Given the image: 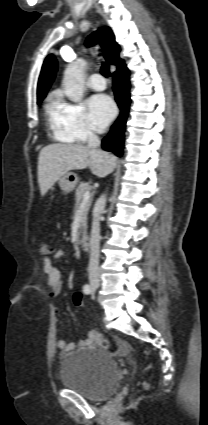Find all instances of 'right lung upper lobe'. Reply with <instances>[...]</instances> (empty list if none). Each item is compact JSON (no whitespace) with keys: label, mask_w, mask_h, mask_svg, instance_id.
Here are the masks:
<instances>
[{"label":"right lung upper lobe","mask_w":208,"mask_h":425,"mask_svg":"<svg viewBox=\"0 0 208 425\" xmlns=\"http://www.w3.org/2000/svg\"><path fill=\"white\" fill-rule=\"evenodd\" d=\"M100 42L104 49V56L106 60L113 65H116L117 68H122L126 66L124 61L120 58V47L115 42V37L112 30L109 27H103L98 31L94 32L87 39V46L94 45L96 42ZM57 71V61L53 55H49L42 66L41 74L38 81L37 87V99L42 101L54 78Z\"/></svg>","instance_id":"obj_1"}]
</instances>
